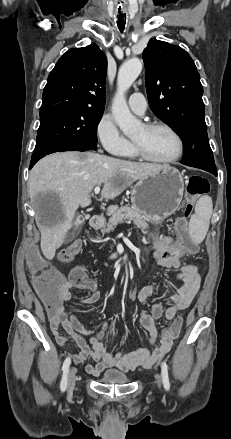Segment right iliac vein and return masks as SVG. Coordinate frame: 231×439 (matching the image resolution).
<instances>
[{
  "label": "right iliac vein",
  "mask_w": 231,
  "mask_h": 439,
  "mask_svg": "<svg viewBox=\"0 0 231 439\" xmlns=\"http://www.w3.org/2000/svg\"><path fill=\"white\" fill-rule=\"evenodd\" d=\"M76 381V369L71 367L68 374V392L71 393L74 389Z\"/></svg>",
  "instance_id": "1"
}]
</instances>
